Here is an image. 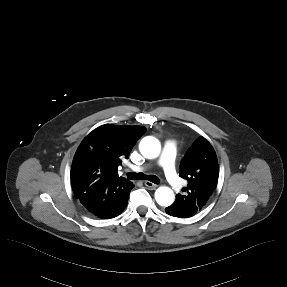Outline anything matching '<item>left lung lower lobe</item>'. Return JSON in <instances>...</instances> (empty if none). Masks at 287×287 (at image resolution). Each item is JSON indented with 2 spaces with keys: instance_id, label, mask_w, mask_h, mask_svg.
<instances>
[{
  "instance_id": "left-lung-lower-lobe-1",
  "label": "left lung lower lobe",
  "mask_w": 287,
  "mask_h": 287,
  "mask_svg": "<svg viewBox=\"0 0 287 287\" xmlns=\"http://www.w3.org/2000/svg\"><path fill=\"white\" fill-rule=\"evenodd\" d=\"M165 211L171 216L180 218H187L196 213L194 210L183 208L176 200L171 206L167 207Z\"/></svg>"
}]
</instances>
